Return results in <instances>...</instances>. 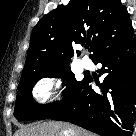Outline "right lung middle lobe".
<instances>
[{
  "instance_id": "1",
  "label": "right lung middle lobe",
  "mask_w": 136,
  "mask_h": 136,
  "mask_svg": "<svg viewBox=\"0 0 136 136\" xmlns=\"http://www.w3.org/2000/svg\"><path fill=\"white\" fill-rule=\"evenodd\" d=\"M68 65H60L45 71L36 72L20 80L14 110L16 119H47L66 104L67 98L70 99L75 94L84 80L77 81ZM43 77H61L64 80L67 89L64 92L65 98L62 101L49 105H39L34 101L32 97L33 85Z\"/></svg>"
}]
</instances>
